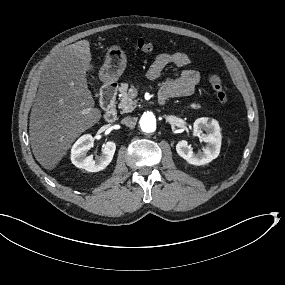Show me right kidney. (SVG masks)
<instances>
[{
	"label": "right kidney",
	"instance_id": "right-kidney-1",
	"mask_svg": "<svg viewBox=\"0 0 285 285\" xmlns=\"http://www.w3.org/2000/svg\"><path fill=\"white\" fill-rule=\"evenodd\" d=\"M93 137L90 134L81 136L72 146L71 161L78 167L89 172H98L105 169L112 161L116 145L114 142H107L102 148V154L95 160L93 157L86 156L87 152L93 146Z\"/></svg>",
	"mask_w": 285,
	"mask_h": 285
}]
</instances>
